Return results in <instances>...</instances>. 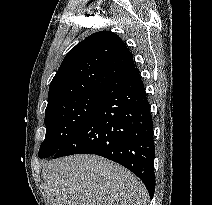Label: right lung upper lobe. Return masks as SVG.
<instances>
[{
    "instance_id": "obj_1",
    "label": "right lung upper lobe",
    "mask_w": 212,
    "mask_h": 205,
    "mask_svg": "<svg viewBox=\"0 0 212 205\" xmlns=\"http://www.w3.org/2000/svg\"><path fill=\"white\" fill-rule=\"evenodd\" d=\"M135 67L123 41L109 31L96 32L72 48L54 76L46 111L69 99L102 92Z\"/></svg>"
}]
</instances>
